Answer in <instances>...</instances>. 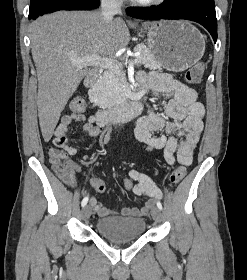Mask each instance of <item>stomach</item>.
Returning a JSON list of instances; mask_svg holds the SVG:
<instances>
[{
	"mask_svg": "<svg viewBox=\"0 0 247 280\" xmlns=\"http://www.w3.org/2000/svg\"><path fill=\"white\" fill-rule=\"evenodd\" d=\"M148 49L163 68L181 72L205 52L201 32L187 21H159L146 27Z\"/></svg>",
	"mask_w": 247,
	"mask_h": 280,
	"instance_id": "obj_1",
	"label": "stomach"
}]
</instances>
